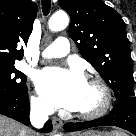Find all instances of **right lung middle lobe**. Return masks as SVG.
Instances as JSON below:
<instances>
[{"label":"right lung middle lobe","mask_w":136,"mask_h":136,"mask_svg":"<svg viewBox=\"0 0 136 136\" xmlns=\"http://www.w3.org/2000/svg\"><path fill=\"white\" fill-rule=\"evenodd\" d=\"M26 93L25 75L14 63L0 64V98H17Z\"/></svg>","instance_id":"dd1d6c3e"}]
</instances>
